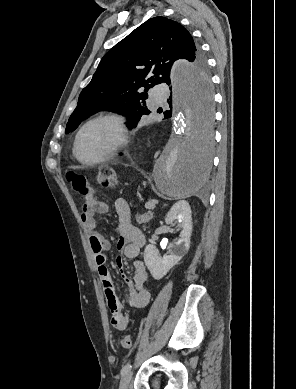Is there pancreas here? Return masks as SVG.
<instances>
[{
  "label": "pancreas",
  "mask_w": 296,
  "mask_h": 389,
  "mask_svg": "<svg viewBox=\"0 0 296 389\" xmlns=\"http://www.w3.org/2000/svg\"><path fill=\"white\" fill-rule=\"evenodd\" d=\"M136 222L138 224L148 223L153 218V213L151 211L144 213L142 215H136Z\"/></svg>",
  "instance_id": "1"
}]
</instances>
